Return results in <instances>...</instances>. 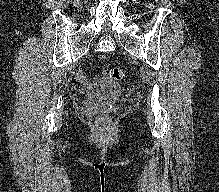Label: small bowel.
Returning a JSON list of instances; mask_svg holds the SVG:
<instances>
[{
    "label": "small bowel",
    "instance_id": "small-bowel-1",
    "mask_svg": "<svg viewBox=\"0 0 219 192\" xmlns=\"http://www.w3.org/2000/svg\"><path fill=\"white\" fill-rule=\"evenodd\" d=\"M79 78H80L81 80H84V76H83L82 74H80Z\"/></svg>",
    "mask_w": 219,
    "mask_h": 192
}]
</instances>
